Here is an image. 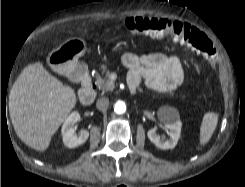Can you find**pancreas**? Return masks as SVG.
<instances>
[{
    "instance_id": "cf45deb5",
    "label": "pancreas",
    "mask_w": 245,
    "mask_h": 187,
    "mask_svg": "<svg viewBox=\"0 0 245 187\" xmlns=\"http://www.w3.org/2000/svg\"><path fill=\"white\" fill-rule=\"evenodd\" d=\"M101 69L103 70V73H105V76L102 77L101 75H97L96 85L99 87L102 91H112L115 87L114 82L109 78V72L107 71V68L105 66H102ZM170 96H173V93L170 94Z\"/></svg>"
}]
</instances>
